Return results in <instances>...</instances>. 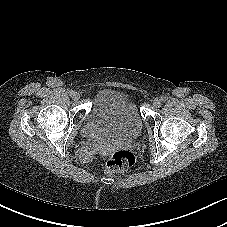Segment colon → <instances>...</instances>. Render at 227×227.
Returning a JSON list of instances; mask_svg holds the SVG:
<instances>
[{
  "label": "colon",
  "mask_w": 227,
  "mask_h": 227,
  "mask_svg": "<svg viewBox=\"0 0 227 227\" xmlns=\"http://www.w3.org/2000/svg\"><path fill=\"white\" fill-rule=\"evenodd\" d=\"M135 155L128 150H120L112 154L106 161V173L112 174L135 164Z\"/></svg>",
  "instance_id": "obj_1"
}]
</instances>
